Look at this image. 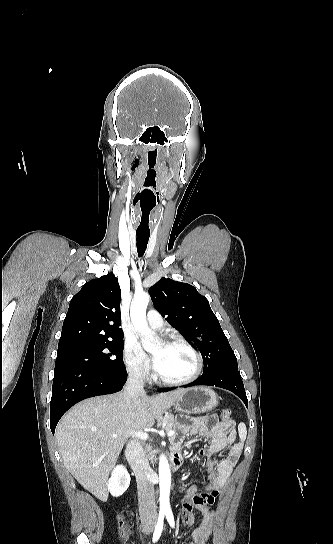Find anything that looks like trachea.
Here are the masks:
<instances>
[{
  "label": "trachea",
  "instance_id": "obj_1",
  "mask_svg": "<svg viewBox=\"0 0 333 544\" xmlns=\"http://www.w3.org/2000/svg\"><path fill=\"white\" fill-rule=\"evenodd\" d=\"M137 235V252L138 256L142 257L146 251L150 233H136Z\"/></svg>",
  "mask_w": 333,
  "mask_h": 544
}]
</instances>
